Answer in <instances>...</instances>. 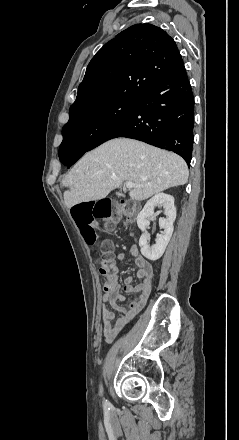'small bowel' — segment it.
Listing matches in <instances>:
<instances>
[{"label": "small bowel", "mask_w": 239, "mask_h": 440, "mask_svg": "<svg viewBox=\"0 0 239 440\" xmlns=\"http://www.w3.org/2000/svg\"><path fill=\"white\" fill-rule=\"evenodd\" d=\"M131 259L136 266L134 276H128L124 280V291L127 294H136V299L130 304V310L127 311L119 305V302L125 300L120 293V286L117 281V275L112 279H107L104 285V305H109L120 313L116 317L115 313L106 307L102 310L103 336L107 343L113 341L121 329L143 308L145 305L153 282V269L151 264L139 253L136 246L129 250ZM120 262H124L126 257L120 253L117 255ZM135 280H140L138 284H133Z\"/></svg>", "instance_id": "c3829d8e"}]
</instances>
